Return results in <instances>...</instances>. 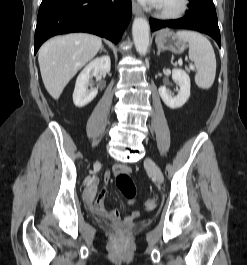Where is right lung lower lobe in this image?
<instances>
[{
  "instance_id": "98d812e1",
  "label": "right lung lower lobe",
  "mask_w": 247,
  "mask_h": 265,
  "mask_svg": "<svg viewBox=\"0 0 247 265\" xmlns=\"http://www.w3.org/2000/svg\"><path fill=\"white\" fill-rule=\"evenodd\" d=\"M131 0H42L34 53L48 38L88 32L118 43L131 18Z\"/></svg>"
}]
</instances>
